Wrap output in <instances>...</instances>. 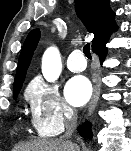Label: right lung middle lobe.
<instances>
[{
	"label": "right lung middle lobe",
	"instance_id": "1",
	"mask_svg": "<svg viewBox=\"0 0 131 151\" xmlns=\"http://www.w3.org/2000/svg\"><path fill=\"white\" fill-rule=\"evenodd\" d=\"M21 88H18L16 90H14V99L17 98V95L19 94V91H20Z\"/></svg>",
	"mask_w": 131,
	"mask_h": 151
}]
</instances>
